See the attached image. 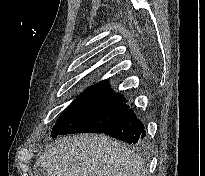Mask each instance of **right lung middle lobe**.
I'll list each match as a JSON object with an SVG mask.
<instances>
[{
    "label": "right lung middle lobe",
    "mask_w": 205,
    "mask_h": 176,
    "mask_svg": "<svg viewBox=\"0 0 205 176\" xmlns=\"http://www.w3.org/2000/svg\"><path fill=\"white\" fill-rule=\"evenodd\" d=\"M125 99L81 94L60 115L51 136L71 133H103L123 117L129 107Z\"/></svg>",
    "instance_id": "obj_1"
}]
</instances>
